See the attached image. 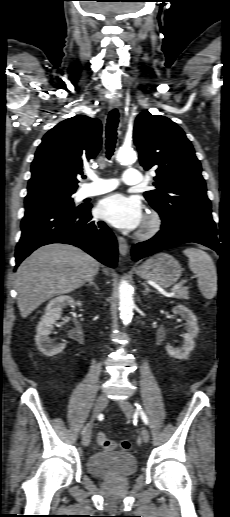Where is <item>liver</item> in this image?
Instances as JSON below:
<instances>
[{
    "mask_svg": "<svg viewBox=\"0 0 230 517\" xmlns=\"http://www.w3.org/2000/svg\"><path fill=\"white\" fill-rule=\"evenodd\" d=\"M99 262L67 244H49L35 250L15 274L17 304L27 317L48 299L74 291L99 271Z\"/></svg>",
    "mask_w": 230,
    "mask_h": 517,
    "instance_id": "1",
    "label": "liver"
}]
</instances>
